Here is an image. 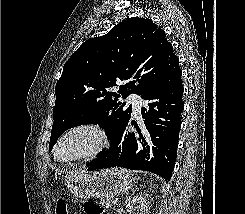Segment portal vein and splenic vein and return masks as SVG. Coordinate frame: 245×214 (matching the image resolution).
Here are the masks:
<instances>
[{
    "label": "portal vein and splenic vein",
    "instance_id": "obj_1",
    "mask_svg": "<svg viewBox=\"0 0 245 214\" xmlns=\"http://www.w3.org/2000/svg\"><path fill=\"white\" fill-rule=\"evenodd\" d=\"M112 203H113V204H116V203H117V201H116V200H114V201H112Z\"/></svg>",
    "mask_w": 245,
    "mask_h": 214
}]
</instances>
